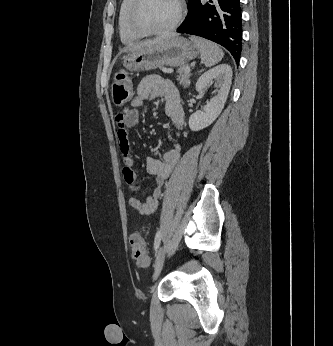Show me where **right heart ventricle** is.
Here are the masks:
<instances>
[{
  "label": "right heart ventricle",
  "mask_w": 333,
  "mask_h": 346,
  "mask_svg": "<svg viewBox=\"0 0 333 346\" xmlns=\"http://www.w3.org/2000/svg\"><path fill=\"white\" fill-rule=\"evenodd\" d=\"M133 3L134 0H122L118 13L117 28L120 39L125 44L135 43L142 38V35L133 31L129 25V14Z\"/></svg>",
  "instance_id": "e07e8e85"
}]
</instances>
